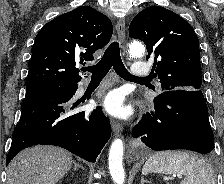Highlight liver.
Listing matches in <instances>:
<instances>
[{"mask_svg": "<svg viewBox=\"0 0 224 184\" xmlns=\"http://www.w3.org/2000/svg\"><path fill=\"white\" fill-rule=\"evenodd\" d=\"M68 151L39 145L21 151L9 164L7 184H56L71 168Z\"/></svg>", "mask_w": 224, "mask_h": 184, "instance_id": "6515ba94", "label": "liver"}]
</instances>
